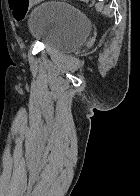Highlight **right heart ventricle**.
Returning <instances> with one entry per match:
<instances>
[{"label":"right heart ventricle","mask_w":140,"mask_h":196,"mask_svg":"<svg viewBox=\"0 0 140 196\" xmlns=\"http://www.w3.org/2000/svg\"><path fill=\"white\" fill-rule=\"evenodd\" d=\"M0 192H33V191H0Z\"/></svg>","instance_id":"e07e8e85"}]
</instances>
